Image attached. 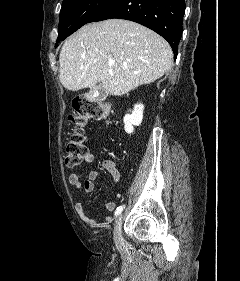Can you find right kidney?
Here are the masks:
<instances>
[{
  "label": "right kidney",
  "instance_id": "ca27d5eb",
  "mask_svg": "<svg viewBox=\"0 0 240 281\" xmlns=\"http://www.w3.org/2000/svg\"><path fill=\"white\" fill-rule=\"evenodd\" d=\"M143 104H136L131 114L124 116V129L126 133L131 134L134 131V126H139L143 119Z\"/></svg>",
  "mask_w": 240,
  "mask_h": 281
}]
</instances>
